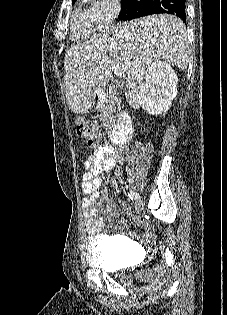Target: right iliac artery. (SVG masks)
Instances as JSON below:
<instances>
[{
    "label": "right iliac artery",
    "instance_id": "obj_1",
    "mask_svg": "<svg viewBox=\"0 0 227 315\" xmlns=\"http://www.w3.org/2000/svg\"><path fill=\"white\" fill-rule=\"evenodd\" d=\"M128 194L132 200L136 201L139 198V195L131 189L129 190Z\"/></svg>",
    "mask_w": 227,
    "mask_h": 315
}]
</instances>
